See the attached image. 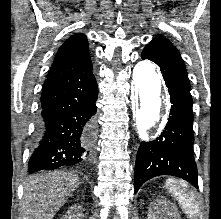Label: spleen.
Segmentation results:
<instances>
[{"label":"spleen","instance_id":"1","mask_svg":"<svg viewBox=\"0 0 221 219\" xmlns=\"http://www.w3.org/2000/svg\"><path fill=\"white\" fill-rule=\"evenodd\" d=\"M166 188L179 202L184 213L191 219H196L199 214V206L196 202L195 195L190 191L188 185L176 179H168Z\"/></svg>","mask_w":221,"mask_h":219}]
</instances>
